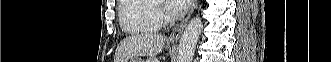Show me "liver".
Returning <instances> with one entry per match:
<instances>
[{"mask_svg":"<svg viewBox=\"0 0 331 62\" xmlns=\"http://www.w3.org/2000/svg\"><path fill=\"white\" fill-rule=\"evenodd\" d=\"M165 36L158 33L145 32L131 35L118 45L114 62H128L136 56H155L162 52Z\"/></svg>","mask_w":331,"mask_h":62,"instance_id":"liver-1","label":"liver"}]
</instances>
